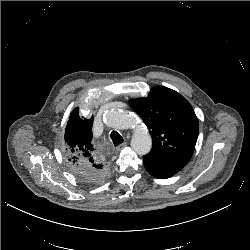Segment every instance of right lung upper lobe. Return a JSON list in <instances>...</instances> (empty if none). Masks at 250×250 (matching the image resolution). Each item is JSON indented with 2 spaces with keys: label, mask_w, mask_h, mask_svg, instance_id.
Listing matches in <instances>:
<instances>
[{
  "label": "right lung upper lobe",
  "mask_w": 250,
  "mask_h": 250,
  "mask_svg": "<svg viewBox=\"0 0 250 250\" xmlns=\"http://www.w3.org/2000/svg\"><path fill=\"white\" fill-rule=\"evenodd\" d=\"M93 117L79 116L75 108L67 122L64 136V155L70 165L78 169L102 171L109 170V161L96 153L92 141Z\"/></svg>",
  "instance_id": "1"
}]
</instances>
